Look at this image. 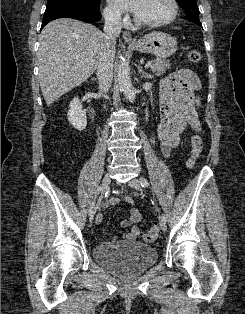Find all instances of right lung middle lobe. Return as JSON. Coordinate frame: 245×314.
<instances>
[{
  "mask_svg": "<svg viewBox=\"0 0 245 314\" xmlns=\"http://www.w3.org/2000/svg\"><path fill=\"white\" fill-rule=\"evenodd\" d=\"M56 4H74L81 5L90 8H99L100 0H48L47 6L56 5Z\"/></svg>",
  "mask_w": 245,
  "mask_h": 314,
  "instance_id": "dd1d6c3e",
  "label": "right lung middle lobe"
}]
</instances>
